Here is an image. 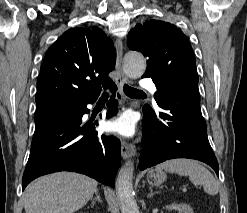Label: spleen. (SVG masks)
<instances>
[{
	"mask_svg": "<svg viewBox=\"0 0 247 213\" xmlns=\"http://www.w3.org/2000/svg\"><path fill=\"white\" fill-rule=\"evenodd\" d=\"M157 171H168L188 176L194 185H202L204 191L209 195H216L219 191V183L209 170L195 160L179 158L168 160L155 167Z\"/></svg>",
	"mask_w": 247,
	"mask_h": 213,
	"instance_id": "1",
	"label": "spleen"
}]
</instances>
